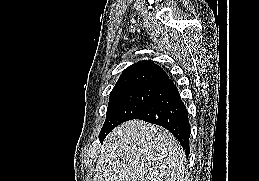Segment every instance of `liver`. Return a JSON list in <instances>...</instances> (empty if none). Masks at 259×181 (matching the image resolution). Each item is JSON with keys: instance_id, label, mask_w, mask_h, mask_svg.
I'll use <instances>...</instances> for the list:
<instances>
[{"instance_id": "6515ba94", "label": "liver", "mask_w": 259, "mask_h": 181, "mask_svg": "<svg viewBox=\"0 0 259 181\" xmlns=\"http://www.w3.org/2000/svg\"><path fill=\"white\" fill-rule=\"evenodd\" d=\"M185 159L168 130L130 120L105 139L93 181H186Z\"/></svg>"}]
</instances>
